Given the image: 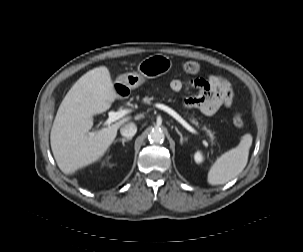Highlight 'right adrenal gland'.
<instances>
[{"label": "right adrenal gland", "instance_id": "right-adrenal-gland-1", "mask_svg": "<svg viewBox=\"0 0 303 252\" xmlns=\"http://www.w3.org/2000/svg\"><path fill=\"white\" fill-rule=\"evenodd\" d=\"M131 139L132 138H120V139L115 140V142L121 141L122 145L125 146V142L130 141Z\"/></svg>", "mask_w": 303, "mask_h": 252}]
</instances>
